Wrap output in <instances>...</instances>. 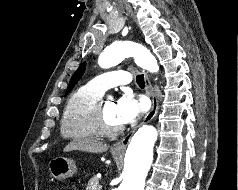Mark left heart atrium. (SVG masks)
Segmentation results:
<instances>
[{"instance_id": "left-heart-atrium-1", "label": "left heart atrium", "mask_w": 238, "mask_h": 190, "mask_svg": "<svg viewBox=\"0 0 238 190\" xmlns=\"http://www.w3.org/2000/svg\"><path fill=\"white\" fill-rule=\"evenodd\" d=\"M117 117L122 124L137 120L146 110L147 102L134 94L126 93L116 103Z\"/></svg>"}]
</instances>
